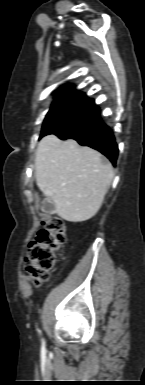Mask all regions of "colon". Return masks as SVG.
<instances>
[{
    "label": "colon",
    "instance_id": "colon-1",
    "mask_svg": "<svg viewBox=\"0 0 145 385\" xmlns=\"http://www.w3.org/2000/svg\"><path fill=\"white\" fill-rule=\"evenodd\" d=\"M64 242V221L58 217L45 219L41 223L37 237L30 242L26 255V270L34 285L49 279L58 251Z\"/></svg>",
    "mask_w": 145,
    "mask_h": 385
}]
</instances>
